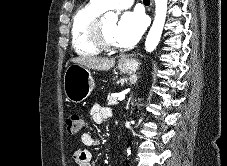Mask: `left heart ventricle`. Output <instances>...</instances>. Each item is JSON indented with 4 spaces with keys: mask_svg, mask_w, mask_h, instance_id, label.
Wrapping results in <instances>:
<instances>
[{
    "mask_svg": "<svg viewBox=\"0 0 227 166\" xmlns=\"http://www.w3.org/2000/svg\"><path fill=\"white\" fill-rule=\"evenodd\" d=\"M117 26V20L106 16L104 19L103 31L105 39L113 44H117L115 38V31Z\"/></svg>",
    "mask_w": 227,
    "mask_h": 166,
    "instance_id": "b2bd125f",
    "label": "left heart ventricle"
}]
</instances>
